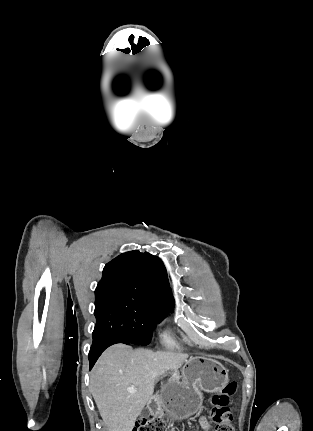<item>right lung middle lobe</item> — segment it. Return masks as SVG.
<instances>
[{
    "mask_svg": "<svg viewBox=\"0 0 313 431\" xmlns=\"http://www.w3.org/2000/svg\"><path fill=\"white\" fill-rule=\"evenodd\" d=\"M171 307L119 293L95 296L96 325L93 343L103 339H121L135 345H148L155 324L165 318Z\"/></svg>",
    "mask_w": 313,
    "mask_h": 431,
    "instance_id": "obj_1",
    "label": "right lung middle lobe"
}]
</instances>
